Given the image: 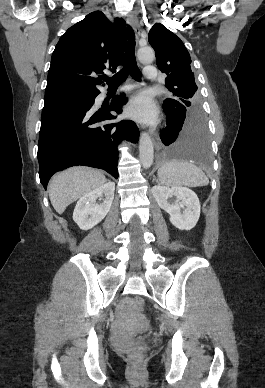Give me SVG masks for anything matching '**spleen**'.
<instances>
[{"label": "spleen", "mask_w": 265, "mask_h": 388, "mask_svg": "<svg viewBox=\"0 0 265 388\" xmlns=\"http://www.w3.org/2000/svg\"><path fill=\"white\" fill-rule=\"evenodd\" d=\"M160 184L163 186H189V188H196V186H207L209 180L204 172L194 166V162L188 160H170L165 162L157 172Z\"/></svg>", "instance_id": "spleen-1"}]
</instances>
